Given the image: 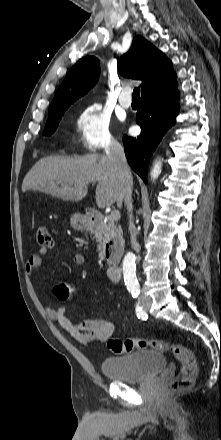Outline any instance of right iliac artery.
Listing matches in <instances>:
<instances>
[{
  "mask_svg": "<svg viewBox=\"0 0 221 440\" xmlns=\"http://www.w3.org/2000/svg\"><path fill=\"white\" fill-rule=\"evenodd\" d=\"M136 314L138 318H141L142 320H147L148 315L146 311L139 305H136Z\"/></svg>",
  "mask_w": 221,
  "mask_h": 440,
  "instance_id": "82829eb1",
  "label": "right iliac artery"
}]
</instances>
